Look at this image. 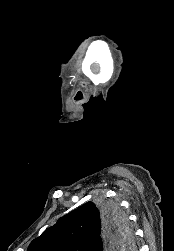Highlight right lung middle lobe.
I'll return each mask as SVG.
<instances>
[{
    "mask_svg": "<svg viewBox=\"0 0 174 251\" xmlns=\"http://www.w3.org/2000/svg\"><path fill=\"white\" fill-rule=\"evenodd\" d=\"M97 206L105 218L115 227V233L122 237L119 250H134L135 242L126 214L117 202L101 200Z\"/></svg>",
    "mask_w": 174,
    "mask_h": 251,
    "instance_id": "obj_1",
    "label": "right lung middle lobe"
}]
</instances>
